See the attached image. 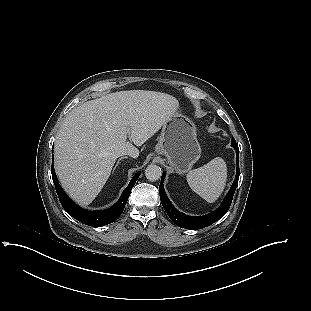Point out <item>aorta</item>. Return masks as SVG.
Segmentation results:
<instances>
[{
    "label": "aorta",
    "mask_w": 311,
    "mask_h": 311,
    "mask_svg": "<svg viewBox=\"0 0 311 311\" xmlns=\"http://www.w3.org/2000/svg\"><path fill=\"white\" fill-rule=\"evenodd\" d=\"M145 176L149 181H152V182L157 181L162 176V170L157 165H154V164L148 165L145 170Z\"/></svg>",
    "instance_id": "aorta-1"
}]
</instances>
